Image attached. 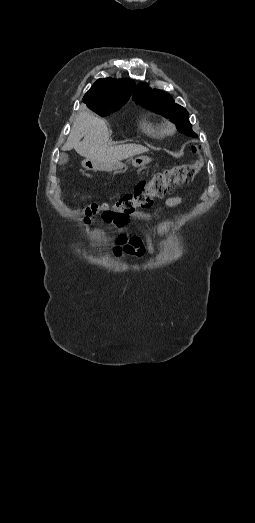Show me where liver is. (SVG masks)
Instances as JSON below:
<instances>
[{
	"label": "liver",
	"instance_id": "liver-1",
	"mask_svg": "<svg viewBox=\"0 0 255 523\" xmlns=\"http://www.w3.org/2000/svg\"><path fill=\"white\" fill-rule=\"evenodd\" d=\"M81 138H84L80 142ZM109 130L102 118H96L89 112H79L76 122L64 144L62 150H75L90 162L102 166L105 172H113L122 168L121 160L144 154L148 148L139 144H122V146H108Z\"/></svg>",
	"mask_w": 255,
	"mask_h": 523
}]
</instances>
